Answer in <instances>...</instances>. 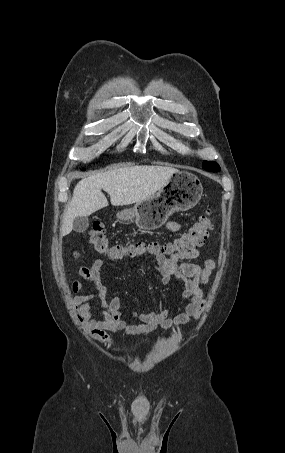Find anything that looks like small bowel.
<instances>
[{"label":"small bowel","mask_w":285,"mask_h":453,"mask_svg":"<svg viewBox=\"0 0 285 453\" xmlns=\"http://www.w3.org/2000/svg\"><path fill=\"white\" fill-rule=\"evenodd\" d=\"M182 225L170 221L167 229L177 232ZM200 252L195 250L189 254L165 258L161 255L155 256V270L159 273L161 283L169 284L176 278L184 282V290L180 304L172 310L166 309L162 302L157 311L146 312H123L121 311V300L114 297L107 299V288L103 285L101 274L104 263L101 259L93 262L91 267H80L79 275L91 282L95 294H86V287L79 281L71 284V292L75 294L72 301L76 316L85 331L95 341L111 345L113 339L110 333L124 332L128 336H144L154 331L157 327L171 328L188 323L192 319H198L206 307V299L201 285L209 282L212 271L215 268L213 259H207L203 266L183 262L198 257ZM97 302L100 306V316L97 318L93 311V304ZM174 314V317L170 316ZM127 320H138V324H129Z\"/></svg>","instance_id":"c3829d8e"}]
</instances>
